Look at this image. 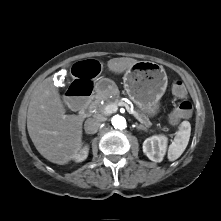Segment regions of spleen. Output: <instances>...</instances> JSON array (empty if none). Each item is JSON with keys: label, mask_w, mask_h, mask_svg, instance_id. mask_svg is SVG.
<instances>
[{"label": "spleen", "mask_w": 221, "mask_h": 221, "mask_svg": "<svg viewBox=\"0 0 221 221\" xmlns=\"http://www.w3.org/2000/svg\"><path fill=\"white\" fill-rule=\"evenodd\" d=\"M191 134V125L188 121H183L179 130L176 132V136L168 149L169 161L178 159L185 151Z\"/></svg>", "instance_id": "obj_1"}]
</instances>
